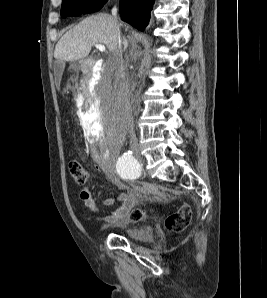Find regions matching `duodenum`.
<instances>
[{
  "mask_svg": "<svg viewBox=\"0 0 267 298\" xmlns=\"http://www.w3.org/2000/svg\"><path fill=\"white\" fill-rule=\"evenodd\" d=\"M101 63L96 60L86 59L81 63V76H86L84 87L81 89L82 99L80 105H83L82 115H91L93 100V89H96L95 81L92 79H98V66Z\"/></svg>",
  "mask_w": 267,
  "mask_h": 298,
  "instance_id": "1",
  "label": "duodenum"
}]
</instances>
